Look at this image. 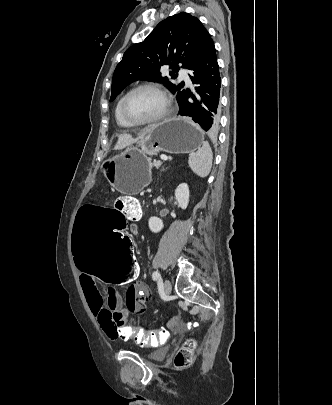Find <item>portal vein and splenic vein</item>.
Segmentation results:
<instances>
[{"label":"portal vein and splenic vein","instance_id":"obj_1","mask_svg":"<svg viewBox=\"0 0 332 405\" xmlns=\"http://www.w3.org/2000/svg\"><path fill=\"white\" fill-rule=\"evenodd\" d=\"M162 160H168V157L167 156H165V155H162L161 157H160Z\"/></svg>","mask_w":332,"mask_h":405}]
</instances>
